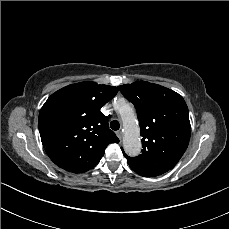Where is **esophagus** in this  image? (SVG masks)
I'll list each match as a JSON object with an SVG mask.
<instances>
[{
    "label": "esophagus",
    "instance_id": "obj_1",
    "mask_svg": "<svg viewBox=\"0 0 229 229\" xmlns=\"http://www.w3.org/2000/svg\"><path fill=\"white\" fill-rule=\"evenodd\" d=\"M116 135L118 136V138H119L120 140H122V138H123V132H122V130H118V131L116 132Z\"/></svg>",
    "mask_w": 229,
    "mask_h": 229
}]
</instances>
